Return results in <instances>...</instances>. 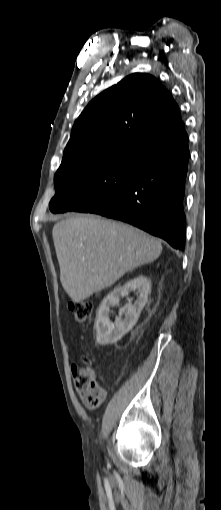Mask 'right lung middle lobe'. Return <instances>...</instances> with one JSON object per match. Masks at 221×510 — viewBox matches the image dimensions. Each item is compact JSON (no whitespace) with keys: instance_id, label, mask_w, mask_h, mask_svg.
<instances>
[{"instance_id":"right-lung-middle-lobe-1","label":"right lung middle lobe","mask_w":221,"mask_h":510,"mask_svg":"<svg viewBox=\"0 0 221 510\" xmlns=\"http://www.w3.org/2000/svg\"><path fill=\"white\" fill-rule=\"evenodd\" d=\"M148 151L122 147L62 162L54 177L56 193L49 204L51 212L82 210L109 201L129 184Z\"/></svg>"}]
</instances>
